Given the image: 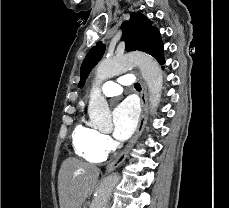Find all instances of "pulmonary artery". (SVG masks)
<instances>
[{"label":"pulmonary artery","mask_w":229,"mask_h":208,"mask_svg":"<svg viewBox=\"0 0 229 208\" xmlns=\"http://www.w3.org/2000/svg\"><path fill=\"white\" fill-rule=\"evenodd\" d=\"M123 72L120 73V77L114 78L109 77L104 85L102 86L100 92L107 97L116 96L122 93L123 86H129L133 83L134 77L131 74H124L121 75Z\"/></svg>","instance_id":"e3ab8cb5"}]
</instances>
